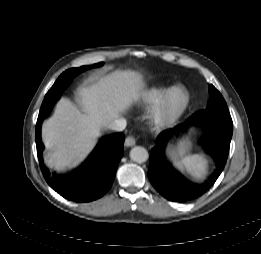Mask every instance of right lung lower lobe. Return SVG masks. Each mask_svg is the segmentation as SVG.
I'll list each match as a JSON object with an SVG mask.
<instances>
[{"label": "right lung lower lobe", "instance_id": "obj_1", "mask_svg": "<svg viewBox=\"0 0 261 254\" xmlns=\"http://www.w3.org/2000/svg\"><path fill=\"white\" fill-rule=\"evenodd\" d=\"M61 93L45 97L39 112L35 140L43 176L49 186L66 199L89 202L103 196L112 186L118 164L123 156L124 134L117 133L101 140L86 161L72 173L59 175L44 168L40 151L44 146L40 138L41 124Z\"/></svg>", "mask_w": 261, "mask_h": 254}]
</instances>
